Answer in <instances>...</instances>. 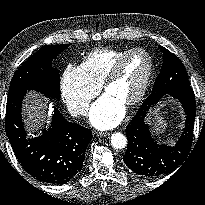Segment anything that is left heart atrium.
<instances>
[{
	"label": "left heart atrium",
	"instance_id": "obj_1",
	"mask_svg": "<svg viewBox=\"0 0 205 205\" xmlns=\"http://www.w3.org/2000/svg\"><path fill=\"white\" fill-rule=\"evenodd\" d=\"M123 104L109 94L102 95L92 106L89 119L98 129H110L123 119Z\"/></svg>",
	"mask_w": 205,
	"mask_h": 205
}]
</instances>
